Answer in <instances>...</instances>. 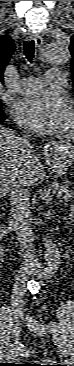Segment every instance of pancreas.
Returning a JSON list of instances; mask_svg holds the SVG:
<instances>
[{"mask_svg":"<svg viewBox=\"0 0 74 366\" xmlns=\"http://www.w3.org/2000/svg\"><path fill=\"white\" fill-rule=\"evenodd\" d=\"M56 189L59 191H63V193H65L68 198H71L73 195L72 188L69 187V185H67V184H64Z\"/></svg>","mask_w":74,"mask_h":366,"instance_id":"pancreas-1","label":"pancreas"}]
</instances>
